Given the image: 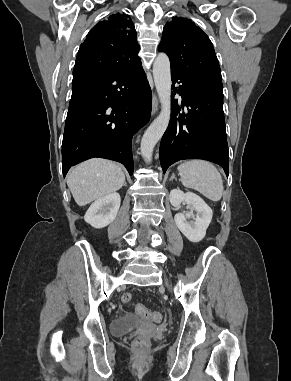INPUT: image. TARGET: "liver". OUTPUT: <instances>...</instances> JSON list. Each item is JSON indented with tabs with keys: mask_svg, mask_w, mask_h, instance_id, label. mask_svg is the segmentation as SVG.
<instances>
[{
	"mask_svg": "<svg viewBox=\"0 0 291 381\" xmlns=\"http://www.w3.org/2000/svg\"><path fill=\"white\" fill-rule=\"evenodd\" d=\"M125 182L121 167L105 159H90L76 166L67 177V185L79 206L119 190Z\"/></svg>",
	"mask_w": 291,
	"mask_h": 381,
	"instance_id": "obj_1",
	"label": "liver"
}]
</instances>
